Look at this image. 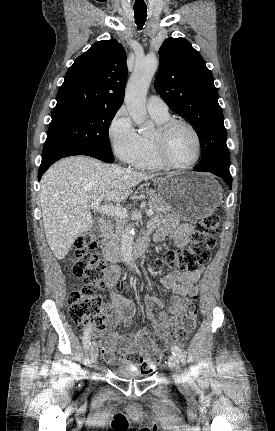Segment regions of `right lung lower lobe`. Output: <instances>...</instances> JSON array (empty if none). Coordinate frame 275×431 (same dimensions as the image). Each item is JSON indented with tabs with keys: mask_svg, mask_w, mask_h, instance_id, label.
Returning a JSON list of instances; mask_svg holds the SVG:
<instances>
[{
	"mask_svg": "<svg viewBox=\"0 0 275 431\" xmlns=\"http://www.w3.org/2000/svg\"><path fill=\"white\" fill-rule=\"evenodd\" d=\"M73 155H88L99 160L112 163L113 157L97 148L80 145V144H66L58 146L44 147L42 153V162L38 170V180L41 179L44 172L57 160L73 156Z\"/></svg>",
	"mask_w": 275,
	"mask_h": 431,
	"instance_id": "right-lung-lower-lobe-1",
	"label": "right lung lower lobe"
}]
</instances>
